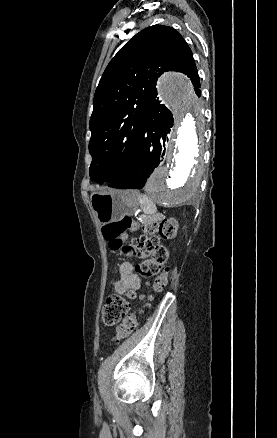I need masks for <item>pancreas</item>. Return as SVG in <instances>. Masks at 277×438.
Returning a JSON list of instances; mask_svg holds the SVG:
<instances>
[{
  "instance_id": "1",
  "label": "pancreas",
  "mask_w": 277,
  "mask_h": 438,
  "mask_svg": "<svg viewBox=\"0 0 277 438\" xmlns=\"http://www.w3.org/2000/svg\"><path fill=\"white\" fill-rule=\"evenodd\" d=\"M139 221H144V219H145V221H146V223H158V221H159V216H158V214H146V216H145V218H144V216H139Z\"/></svg>"
}]
</instances>
